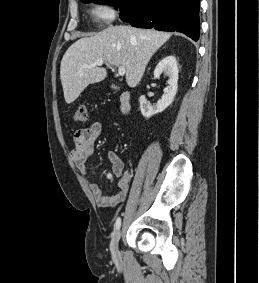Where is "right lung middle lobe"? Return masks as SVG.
Instances as JSON below:
<instances>
[{
    "mask_svg": "<svg viewBox=\"0 0 259 283\" xmlns=\"http://www.w3.org/2000/svg\"><path fill=\"white\" fill-rule=\"evenodd\" d=\"M84 3L95 2V3H102V4H112L119 6L121 0H81Z\"/></svg>",
    "mask_w": 259,
    "mask_h": 283,
    "instance_id": "right-lung-middle-lobe-1",
    "label": "right lung middle lobe"
}]
</instances>
